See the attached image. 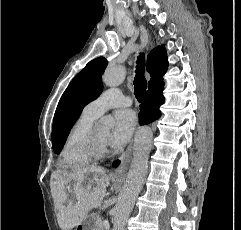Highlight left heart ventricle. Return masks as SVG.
Listing matches in <instances>:
<instances>
[{"label": "left heart ventricle", "instance_id": "obj_1", "mask_svg": "<svg viewBox=\"0 0 241 230\" xmlns=\"http://www.w3.org/2000/svg\"><path fill=\"white\" fill-rule=\"evenodd\" d=\"M95 136L97 141L102 144V145H106L108 144L109 141V131L107 129H103V128H96L95 129Z\"/></svg>", "mask_w": 241, "mask_h": 230}]
</instances>
